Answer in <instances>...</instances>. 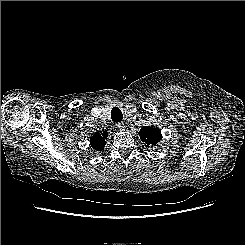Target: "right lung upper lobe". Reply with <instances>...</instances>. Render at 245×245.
<instances>
[{
  "mask_svg": "<svg viewBox=\"0 0 245 245\" xmlns=\"http://www.w3.org/2000/svg\"><path fill=\"white\" fill-rule=\"evenodd\" d=\"M107 136H108V132L106 130L101 133L93 134L92 137L90 138V144L92 148L97 151L103 150L106 144L105 139L107 138Z\"/></svg>",
  "mask_w": 245,
  "mask_h": 245,
  "instance_id": "right-lung-upper-lobe-1",
  "label": "right lung upper lobe"
}]
</instances>
